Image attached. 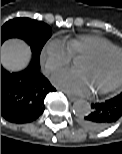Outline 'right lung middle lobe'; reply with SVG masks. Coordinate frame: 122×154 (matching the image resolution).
<instances>
[{"label":"right lung middle lobe","instance_id":"dd1d6c3e","mask_svg":"<svg viewBox=\"0 0 122 154\" xmlns=\"http://www.w3.org/2000/svg\"><path fill=\"white\" fill-rule=\"evenodd\" d=\"M51 28L40 21L29 18H16L1 27V44L8 38L24 39L31 47L33 58L40 59L41 50L51 36Z\"/></svg>","mask_w":122,"mask_h":154}]
</instances>
